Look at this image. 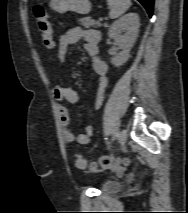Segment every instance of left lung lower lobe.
Wrapping results in <instances>:
<instances>
[{
  "label": "left lung lower lobe",
  "mask_w": 188,
  "mask_h": 213,
  "mask_svg": "<svg viewBox=\"0 0 188 213\" xmlns=\"http://www.w3.org/2000/svg\"><path fill=\"white\" fill-rule=\"evenodd\" d=\"M147 10L149 16L153 15V4L154 0H138Z\"/></svg>",
  "instance_id": "1"
}]
</instances>
